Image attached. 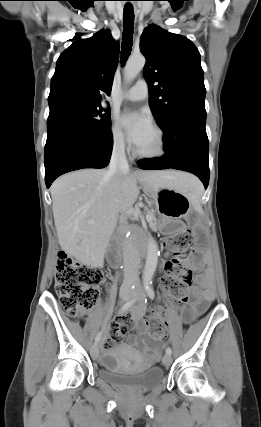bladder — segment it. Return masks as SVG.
Masks as SVG:
<instances>
[{
    "instance_id": "1",
    "label": "bladder",
    "mask_w": 261,
    "mask_h": 427,
    "mask_svg": "<svg viewBox=\"0 0 261 427\" xmlns=\"http://www.w3.org/2000/svg\"><path fill=\"white\" fill-rule=\"evenodd\" d=\"M99 376L107 383L121 389L136 392H147L159 386L165 377L159 366L137 371L123 366L113 353L106 354L102 359Z\"/></svg>"
}]
</instances>
